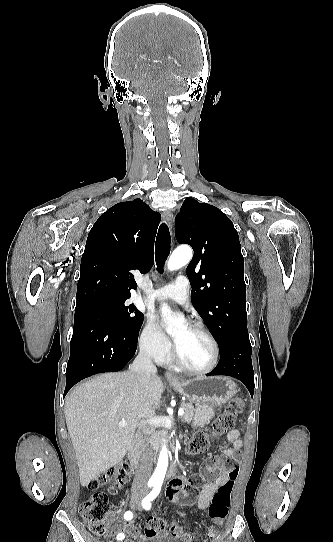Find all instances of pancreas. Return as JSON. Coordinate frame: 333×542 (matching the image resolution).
<instances>
[{"instance_id":"pancreas-1","label":"pancreas","mask_w":333,"mask_h":542,"mask_svg":"<svg viewBox=\"0 0 333 542\" xmlns=\"http://www.w3.org/2000/svg\"><path fill=\"white\" fill-rule=\"evenodd\" d=\"M180 408H183L184 410L183 416H180L182 422H188V424H190V422H192L193 420V416L195 412L194 406H192V404H186V402H182V404H180ZM161 436H162V432H152L151 434L150 442H151L152 450H155V452H158L160 448Z\"/></svg>"}]
</instances>
